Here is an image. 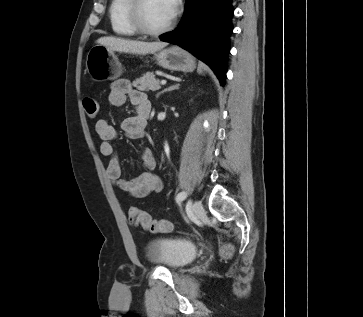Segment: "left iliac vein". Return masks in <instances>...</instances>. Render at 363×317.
<instances>
[{
  "instance_id": "left-iliac-vein-1",
  "label": "left iliac vein",
  "mask_w": 363,
  "mask_h": 317,
  "mask_svg": "<svg viewBox=\"0 0 363 317\" xmlns=\"http://www.w3.org/2000/svg\"><path fill=\"white\" fill-rule=\"evenodd\" d=\"M203 213V205L201 201L195 200L191 206V214L194 217H199Z\"/></svg>"
}]
</instances>
